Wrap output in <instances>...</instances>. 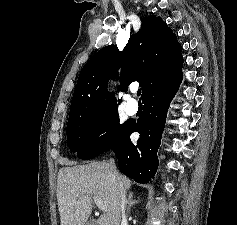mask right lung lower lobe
Listing matches in <instances>:
<instances>
[{"mask_svg": "<svg viewBox=\"0 0 237 225\" xmlns=\"http://www.w3.org/2000/svg\"><path fill=\"white\" fill-rule=\"evenodd\" d=\"M181 80L163 83L146 94L142 98L144 103L142 117L137 122H129L111 148L118 159L119 170L138 183H149L156 174L158 168L156 154L167 110ZM134 131L140 134L136 143L130 140V135Z\"/></svg>", "mask_w": 237, "mask_h": 225, "instance_id": "98d812e1", "label": "right lung lower lobe"}]
</instances>
